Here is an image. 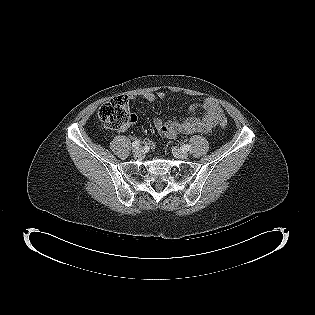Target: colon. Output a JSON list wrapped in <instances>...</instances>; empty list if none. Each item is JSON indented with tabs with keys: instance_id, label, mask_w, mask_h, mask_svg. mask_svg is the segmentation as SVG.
<instances>
[{
	"instance_id": "colon-1",
	"label": "colon",
	"mask_w": 315,
	"mask_h": 315,
	"mask_svg": "<svg viewBox=\"0 0 315 315\" xmlns=\"http://www.w3.org/2000/svg\"><path fill=\"white\" fill-rule=\"evenodd\" d=\"M98 117L104 127L112 130H121L134 122L135 116L130 112L127 97H114L104 103L99 111ZM220 126L225 128L227 121L225 118L220 120Z\"/></svg>"
}]
</instances>
